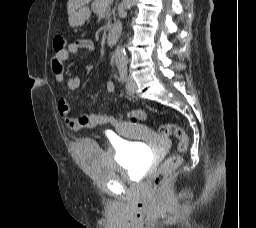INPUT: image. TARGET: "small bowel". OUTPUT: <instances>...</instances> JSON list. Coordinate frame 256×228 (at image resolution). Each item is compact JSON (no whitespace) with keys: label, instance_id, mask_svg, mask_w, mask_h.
<instances>
[{"label":"small bowel","instance_id":"1","mask_svg":"<svg viewBox=\"0 0 256 228\" xmlns=\"http://www.w3.org/2000/svg\"><path fill=\"white\" fill-rule=\"evenodd\" d=\"M94 43L89 39H78L71 42L64 50L54 53L51 59L53 79L56 83H62L65 80L64 62L73 54L80 51H93ZM81 84L79 77H70L67 80V87L71 92L79 89ZM115 85L112 81L107 82L105 86L106 94L113 93ZM57 108L60 116L66 122L68 128L72 131L93 128L97 126H105L108 124H116L114 118L107 116L100 110L93 112H83L73 115L70 102L66 98H60L57 102Z\"/></svg>","mask_w":256,"mask_h":228}]
</instances>
